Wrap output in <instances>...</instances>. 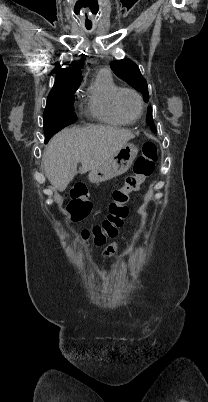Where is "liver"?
Wrapping results in <instances>:
<instances>
[{
    "label": "liver",
    "mask_w": 208,
    "mask_h": 402,
    "mask_svg": "<svg viewBox=\"0 0 208 402\" xmlns=\"http://www.w3.org/2000/svg\"><path fill=\"white\" fill-rule=\"evenodd\" d=\"M132 138L135 136L129 130L112 126L66 128L50 140L43 154L45 176L52 186L63 192L78 174L79 162L81 174H86L104 164Z\"/></svg>",
    "instance_id": "liver-1"
}]
</instances>
